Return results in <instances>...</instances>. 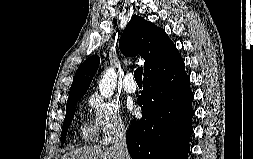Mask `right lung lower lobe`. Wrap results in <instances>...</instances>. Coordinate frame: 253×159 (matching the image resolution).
<instances>
[{"mask_svg": "<svg viewBox=\"0 0 253 159\" xmlns=\"http://www.w3.org/2000/svg\"><path fill=\"white\" fill-rule=\"evenodd\" d=\"M184 62L172 71L144 78L138 97L142 118L126 135L132 159H187L193 131L194 98Z\"/></svg>", "mask_w": 253, "mask_h": 159, "instance_id": "98d812e1", "label": "right lung lower lobe"}]
</instances>
